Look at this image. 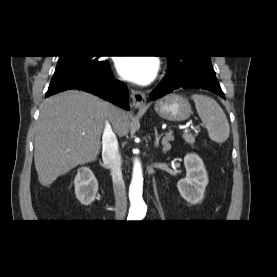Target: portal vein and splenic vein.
Wrapping results in <instances>:
<instances>
[{
	"label": "portal vein and splenic vein",
	"instance_id": "18ae733b",
	"mask_svg": "<svg viewBox=\"0 0 277 277\" xmlns=\"http://www.w3.org/2000/svg\"><path fill=\"white\" fill-rule=\"evenodd\" d=\"M183 133H184V134H185V133H188V129L183 130Z\"/></svg>",
	"mask_w": 277,
	"mask_h": 277
}]
</instances>
